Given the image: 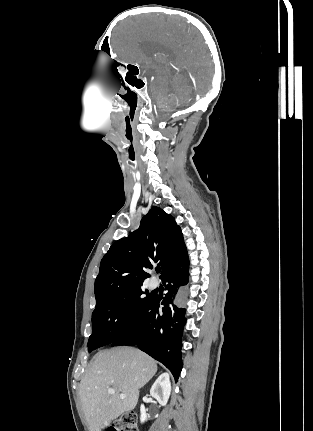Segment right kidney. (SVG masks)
Here are the masks:
<instances>
[{
	"label": "right kidney",
	"mask_w": 313,
	"mask_h": 431,
	"mask_svg": "<svg viewBox=\"0 0 313 431\" xmlns=\"http://www.w3.org/2000/svg\"><path fill=\"white\" fill-rule=\"evenodd\" d=\"M171 393V382L168 373L161 374L157 380L154 382L153 386L150 389V394L153 398H155L158 403L162 406H166L169 396ZM140 421L141 423L147 420L146 409L144 405L140 407Z\"/></svg>",
	"instance_id": "ca27d5eb"
}]
</instances>
